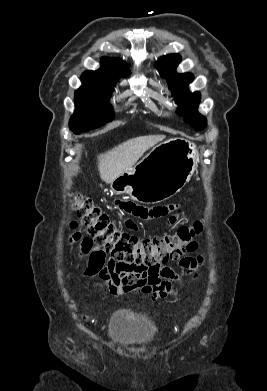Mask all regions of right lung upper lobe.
<instances>
[{
    "label": "right lung upper lobe",
    "mask_w": 267,
    "mask_h": 391,
    "mask_svg": "<svg viewBox=\"0 0 267 391\" xmlns=\"http://www.w3.org/2000/svg\"><path fill=\"white\" fill-rule=\"evenodd\" d=\"M128 66L120 60L103 59L102 66L97 71H86L81 76L83 87L94 89L102 93L111 94L118 71L121 75L128 73Z\"/></svg>",
    "instance_id": "obj_1"
}]
</instances>
